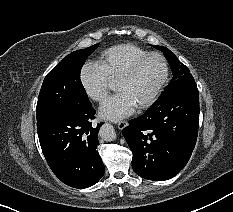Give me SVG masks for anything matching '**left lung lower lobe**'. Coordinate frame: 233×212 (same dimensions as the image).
Returning <instances> with one entry per match:
<instances>
[{"mask_svg": "<svg viewBox=\"0 0 233 212\" xmlns=\"http://www.w3.org/2000/svg\"><path fill=\"white\" fill-rule=\"evenodd\" d=\"M198 126V92H178L157 99L143 116L129 121L122 131L133 152L134 172L154 181L177 175L193 152Z\"/></svg>", "mask_w": 233, "mask_h": 212, "instance_id": "left-lung-lower-lobe-1", "label": "left lung lower lobe"}]
</instances>
